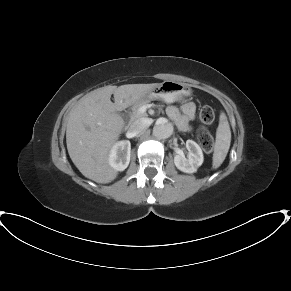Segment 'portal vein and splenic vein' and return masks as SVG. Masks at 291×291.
Masks as SVG:
<instances>
[{
	"mask_svg": "<svg viewBox=\"0 0 291 291\" xmlns=\"http://www.w3.org/2000/svg\"><path fill=\"white\" fill-rule=\"evenodd\" d=\"M146 110H147V106L144 105V106L140 107V109H139V113L143 114V113L146 112Z\"/></svg>",
	"mask_w": 291,
	"mask_h": 291,
	"instance_id": "18ae733b",
	"label": "portal vein and splenic vein"
}]
</instances>
